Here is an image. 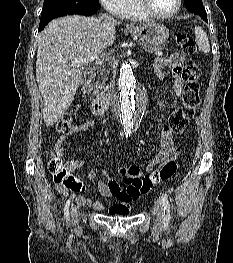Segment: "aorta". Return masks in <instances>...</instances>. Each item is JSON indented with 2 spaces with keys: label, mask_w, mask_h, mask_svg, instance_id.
Instances as JSON below:
<instances>
[{
  "label": "aorta",
  "mask_w": 233,
  "mask_h": 263,
  "mask_svg": "<svg viewBox=\"0 0 233 263\" xmlns=\"http://www.w3.org/2000/svg\"><path fill=\"white\" fill-rule=\"evenodd\" d=\"M146 99L145 88L132 67L123 63L119 73V109L125 127H133L142 118Z\"/></svg>",
  "instance_id": "762f6f07"
}]
</instances>
